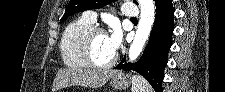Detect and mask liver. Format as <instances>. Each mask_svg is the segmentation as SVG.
<instances>
[{
	"instance_id": "6515ba94",
	"label": "liver",
	"mask_w": 225,
	"mask_h": 92,
	"mask_svg": "<svg viewBox=\"0 0 225 92\" xmlns=\"http://www.w3.org/2000/svg\"><path fill=\"white\" fill-rule=\"evenodd\" d=\"M115 73L106 69H59L53 80L52 92L70 86H82L89 88H99Z\"/></svg>"
}]
</instances>
